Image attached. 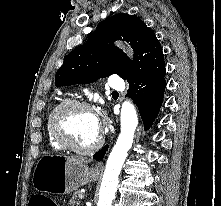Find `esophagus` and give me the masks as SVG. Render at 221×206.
Instances as JSON below:
<instances>
[{
	"label": "esophagus",
	"mask_w": 221,
	"mask_h": 206,
	"mask_svg": "<svg viewBox=\"0 0 221 206\" xmlns=\"http://www.w3.org/2000/svg\"><path fill=\"white\" fill-rule=\"evenodd\" d=\"M102 168H103V164L102 163L97 164V166H96L97 170H101Z\"/></svg>",
	"instance_id": "1"
}]
</instances>
